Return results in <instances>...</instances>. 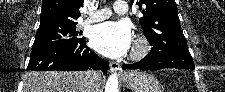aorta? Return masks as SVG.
Returning <instances> with one entry per match:
<instances>
[{"label":"aorta","instance_id":"aorta-1","mask_svg":"<svg viewBox=\"0 0 225 92\" xmlns=\"http://www.w3.org/2000/svg\"><path fill=\"white\" fill-rule=\"evenodd\" d=\"M105 92H118L117 73H113L109 76V78L106 82Z\"/></svg>","mask_w":225,"mask_h":92}]
</instances>
